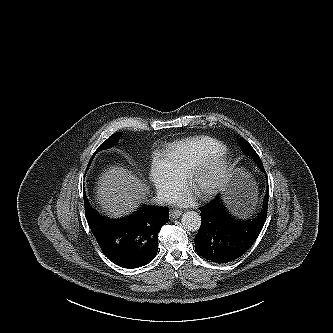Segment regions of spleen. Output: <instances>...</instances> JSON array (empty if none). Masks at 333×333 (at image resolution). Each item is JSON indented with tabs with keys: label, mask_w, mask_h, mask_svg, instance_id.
Instances as JSON below:
<instances>
[{
	"label": "spleen",
	"mask_w": 333,
	"mask_h": 333,
	"mask_svg": "<svg viewBox=\"0 0 333 333\" xmlns=\"http://www.w3.org/2000/svg\"><path fill=\"white\" fill-rule=\"evenodd\" d=\"M255 190V187H254ZM256 192V191H255ZM255 198H256V193L254 194ZM249 214H245L243 217H247Z\"/></svg>",
	"instance_id": "obj_1"
}]
</instances>
